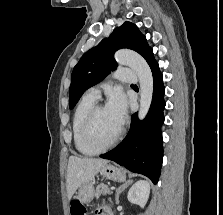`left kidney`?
<instances>
[{
  "label": "left kidney",
  "instance_id": "5707ae66",
  "mask_svg": "<svg viewBox=\"0 0 223 215\" xmlns=\"http://www.w3.org/2000/svg\"><path fill=\"white\" fill-rule=\"evenodd\" d=\"M150 193V183L146 179H139L136 183H133L128 191V199L131 203H138L141 207H144L147 203V199Z\"/></svg>",
  "mask_w": 223,
  "mask_h": 215
}]
</instances>
